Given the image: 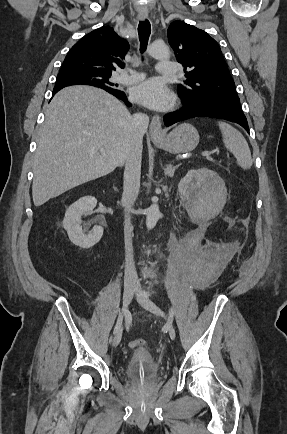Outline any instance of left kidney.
I'll return each instance as SVG.
<instances>
[{
    "instance_id": "5707ae66",
    "label": "left kidney",
    "mask_w": 287,
    "mask_h": 434,
    "mask_svg": "<svg viewBox=\"0 0 287 434\" xmlns=\"http://www.w3.org/2000/svg\"><path fill=\"white\" fill-rule=\"evenodd\" d=\"M181 200L193 208H208L218 213L226 202L227 190L224 181L207 168L192 169L178 184Z\"/></svg>"
}]
</instances>
